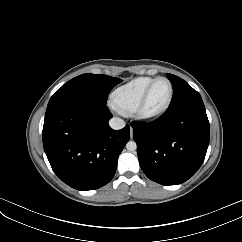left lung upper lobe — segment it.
<instances>
[{
  "label": "left lung upper lobe",
  "mask_w": 242,
  "mask_h": 242,
  "mask_svg": "<svg viewBox=\"0 0 242 242\" xmlns=\"http://www.w3.org/2000/svg\"><path fill=\"white\" fill-rule=\"evenodd\" d=\"M173 86V97L170 106L177 105L187 100L201 99L200 94L186 81L173 74H167Z\"/></svg>",
  "instance_id": "left-lung-upper-lobe-1"
}]
</instances>
